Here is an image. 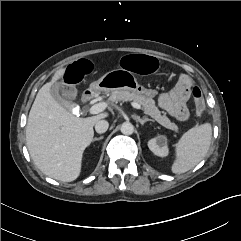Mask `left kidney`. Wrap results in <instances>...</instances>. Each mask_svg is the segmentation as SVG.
<instances>
[{"label":"left kidney","instance_id":"1","mask_svg":"<svg viewBox=\"0 0 241 241\" xmlns=\"http://www.w3.org/2000/svg\"><path fill=\"white\" fill-rule=\"evenodd\" d=\"M149 149L157 156L165 157L168 155L167 138L159 135L148 142Z\"/></svg>","mask_w":241,"mask_h":241}]
</instances>
